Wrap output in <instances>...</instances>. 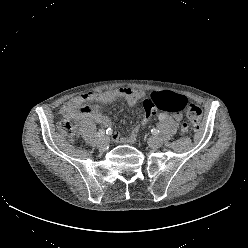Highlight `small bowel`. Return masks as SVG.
<instances>
[{"label":"small bowel","instance_id":"obj_1","mask_svg":"<svg viewBox=\"0 0 248 248\" xmlns=\"http://www.w3.org/2000/svg\"><path fill=\"white\" fill-rule=\"evenodd\" d=\"M145 92L140 89H134L129 87H121L114 90L104 91V92H87L81 94L77 97L66 102L60 112L68 119H78L83 117H88L95 122L108 127L111 123L108 116L102 114L96 107L88 106L87 103L96 101L99 103H109L118 98H123L125 101L131 105H136L143 97ZM174 118L178 121L181 120L182 116L180 113H175ZM189 125L186 122H181L178 125V131L181 134L188 132ZM137 128L129 137L123 136L121 132H116L114 139L116 142L120 143H133L136 139Z\"/></svg>","mask_w":248,"mask_h":248}]
</instances>
